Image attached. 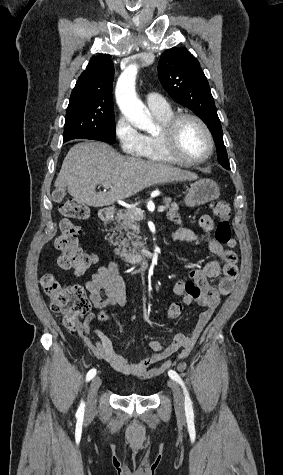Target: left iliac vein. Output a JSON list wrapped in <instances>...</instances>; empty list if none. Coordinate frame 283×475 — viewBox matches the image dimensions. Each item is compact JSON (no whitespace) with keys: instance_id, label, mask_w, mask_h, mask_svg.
<instances>
[{"instance_id":"4c4485c4","label":"left iliac vein","mask_w":283,"mask_h":475,"mask_svg":"<svg viewBox=\"0 0 283 475\" xmlns=\"http://www.w3.org/2000/svg\"><path fill=\"white\" fill-rule=\"evenodd\" d=\"M168 386L173 391L174 406L179 416H184V398L178 383L175 380H168Z\"/></svg>"}]
</instances>
